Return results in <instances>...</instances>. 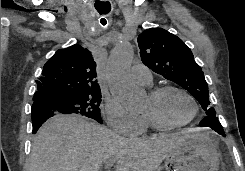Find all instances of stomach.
<instances>
[{
	"label": "stomach",
	"mask_w": 245,
	"mask_h": 171,
	"mask_svg": "<svg viewBox=\"0 0 245 171\" xmlns=\"http://www.w3.org/2000/svg\"><path fill=\"white\" fill-rule=\"evenodd\" d=\"M218 139L211 132L189 134L166 157V171H219Z\"/></svg>",
	"instance_id": "obj_1"
}]
</instances>
